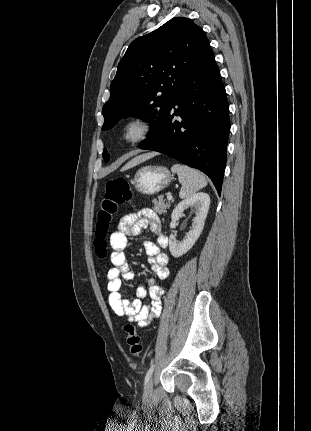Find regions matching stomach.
I'll return each instance as SVG.
<instances>
[{"instance_id":"stomach-1","label":"stomach","mask_w":311,"mask_h":431,"mask_svg":"<svg viewBox=\"0 0 311 431\" xmlns=\"http://www.w3.org/2000/svg\"><path fill=\"white\" fill-rule=\"evenodd\" d=\"M172 178L171 172L164 166H143L137 170L131 184L136 192L145 196H154L169 186Z\"/></svg>"}]
</instances>
